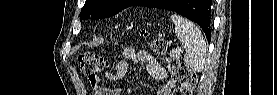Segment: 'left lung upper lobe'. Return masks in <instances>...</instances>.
Instances as JSON below:
<instances>
[{
	"instance_id": "1",
	"label": "left lung upper lobe",
	"mask_w": 277,
	"mask_h": 95,
	"mask_svg": "<svg viewBox=\"0 0 277 95\" xmlns=\"http://www.w3.org/2000/svg\"><path fill=\"white\" fill-rule=\"evenodd\" d=\"M138 0H86L80 19H104L116 15L127 7L133 6ZM177 0H159V8L165 9Z\"/></svg>"
}]
</instances>
